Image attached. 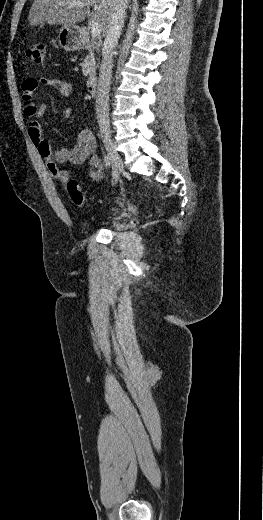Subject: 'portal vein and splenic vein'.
I'll return each instance as SVG.
<instances>
[{
	"instance_id": "portal-vein-and-splenic-vein-1",
	"label": "portal vein and splenic vein",
	"mask_w": 263,
	"mask_h": 520,
	"mask_svg": "<svg viewBox=\"0 0 263 520\" xmlns=\"http://www.w3.org/2000/svg\"><path fill=\"white\" fill-rule=\"evenodd\" d=\"M70 6L84 7L85 4L80 1L70 3ZM101 33V25L98 22L93 21L91 24V35L92 38L98 37Z\"/></svg>"
}]
</instances>
